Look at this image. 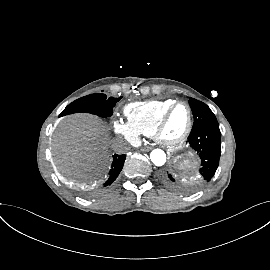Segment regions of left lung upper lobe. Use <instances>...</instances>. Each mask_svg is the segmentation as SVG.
<instances>
[{"label":"left lung upper lobe","mask_w":270,"mask_h":270,"mask_svg":"<svg viewBox=\"0 0 270 270\" xmlns=\"http://www.w3.org/2000/svg\"><path fill=\"white\" fill-rule=\"evenodd\" d=\"M189 104L194 116L192 131L206 125H218L215 115L205 103L194 98H190Z\"/></svg>","instance_id":"5c2ea615"}]
</instances>
